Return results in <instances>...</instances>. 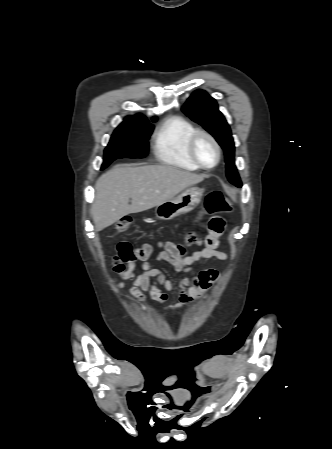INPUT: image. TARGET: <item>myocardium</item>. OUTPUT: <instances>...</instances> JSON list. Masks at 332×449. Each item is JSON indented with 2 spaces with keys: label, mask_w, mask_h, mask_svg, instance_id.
Returning a JSON list of instances; mask_svg holds the SVG:
<instances>
[{
  "label": "myocardium",
  "mask_w": 332,
  "mask_h": 449,
  "mask_svg": "<svg viewBox=\"0 0 332 449\" xmlns=\"http://www.w3.org/2000/svg\"><path fill=\"white\" fill-rule=\"evenodd\" d=\"M202 137L208 139L212 143V145L214 146L215 151H216V156H217L216 160L212 165H209V166L203 164L196 153V144H197L198 140ZM187 149H188V153H189L192 161L201 169H205V170L213 169L220 162L221 147H220L218 141L216 140V138L206 130L196 129L192 133V135L190 136V138L188 140Z\"/></svg>",
  "instance_id": "1"
}]
</instances>
